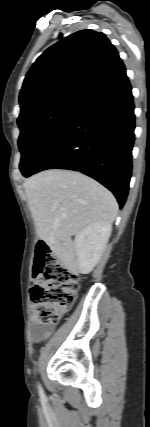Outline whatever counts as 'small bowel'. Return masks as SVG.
Returning <instances> with one entry per match:
<instances>
[{
    "label": "small bowel",
    "instance_id": "1",
    "mask_svg": "<svg viewBox=\"0 0 150 427\" xmlns=\"http://www.w3.org/2000/svg\"><path fill=\"white\" fill-rule=\"evenodd\" d=\"M50 333V328L35 325L30 328V339L34 343H39L47 339Z\"/></svg>",
    "mask_w": 150,
    "mask_h": 427
}]
</instances>
